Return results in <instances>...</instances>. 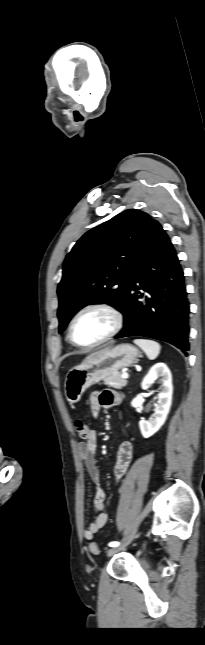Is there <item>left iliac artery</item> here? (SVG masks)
I'll use <instances>...</instances> for the list:
<instances>
[{
  "instance_id": "obj_1",
  "label": "left iliac artery",
  "mask_w": 205,
  "mask_h": 645,
  "mask_svg": "<svg viewBox=\"0 0 205 645\" xmlns=\"http://www.w3.org/2000/svg\"><path fill=\"white\" fill-rule=\"evenodd\" d=\"M108 545L110 547H117V546H119V542L118 541H113V542H110Z\"/></svg>"
}]
</instances>
